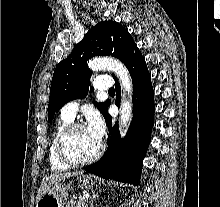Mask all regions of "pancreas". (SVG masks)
Returning a JSON list of instances; mask_svg holds the SVG:
<instances>
[{
  "mask_svg": "<svg viewBox=\"0 0 220 207\" xmlns=\"http://www.w3.org/2000/svg\"><path fill=\"white\" fill-rule=\"evenodd\" d=\"M66 207H87V204L85 199L79 198V200H71Z\"/></svg>",
  "mask_w": 220,
  "mask_h": 207,
  "instance_id": "cf45deb5",
  "label": "pancreas"
}]
</instances>
